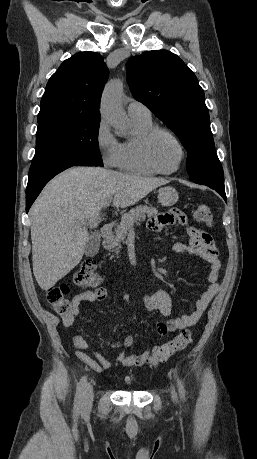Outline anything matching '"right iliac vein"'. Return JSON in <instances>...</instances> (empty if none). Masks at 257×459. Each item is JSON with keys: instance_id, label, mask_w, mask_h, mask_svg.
<instances>
[{"instance_id": "1", "label": "right iliac vein", "mask_w": 257, "mask_h": 459, "mask_svg": "<svg viewBox=\"0 0 257 459\" xmlns=\"http://www.w3.org/2000/svg\"><path fill=\"white\" fill-rule=\"evenodd\" d=\"M93 401V386L91 384H88L85 389H84V394H83V408L85 410L89 409Z\"/></svg>"}]
</instances>
